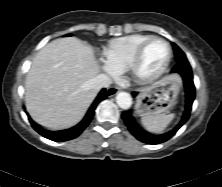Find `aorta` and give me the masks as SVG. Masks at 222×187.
Listing matches in <instances>:
<instances>
[{
	"instance_id": "aorta-1",
	"label": "aorta",
	"mask_w": 222,
	"mask_h": 187,
	"mask_svg": "<svg viewBox=\"0 0 222 187\" xmlns=\"http://www.w3.org/2000/svg\"><path fill=\"white\" fill-rule=\"evenodd\" d=\"M116 102L122 109H128L132 105V98L129 93L120 92L116 96Z\"/></svg>"
}]
</instances>
